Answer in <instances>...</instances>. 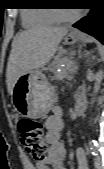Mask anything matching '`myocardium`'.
<instances>
[{
  "mask_svg": "<svg viewBox=\"0 0 104 169\" xmlns=\"http://www.w3.org/2000/svg\"><path fill=\"white\" fill-rule=\"evenodd\" d=\"M52 14L58 22H72L79 17L80 11H76L72 15L67 16L62 14L60 9H53Z\"/></svg>",
  "mask_w": 104,
  "mask_h": 169,
  "instance_id": "1",
  "label": "myocardium"
}]
</instances>
